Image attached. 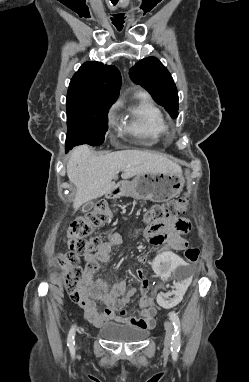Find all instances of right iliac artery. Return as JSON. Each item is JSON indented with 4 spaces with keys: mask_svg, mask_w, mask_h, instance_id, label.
I'll return each mask as SVG.
<instances>
[{
    "mask_svg": "<svg viewBox=\"0 0 249 382\" xmlns=\"http://www.w3.org/2000/svg\"><path fill=\"white\" fill-rule=\"evenodd\" d=\"M74 332H75V327L73 326L69 332V335H68V346L69 347L74 346Z\"/></svg>",
    "mask_w": 249,
    "mask_h": 382,
    "instance_id": "1",
    "label": "right iliac artery"
}]
</instances>
